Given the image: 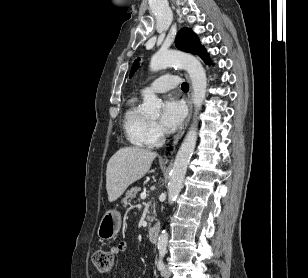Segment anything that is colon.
<instances>
[{
	"mask_svg": "<svg viewBox=\"0 0 308 278\" xmlns=\"http://www.w3.org/2000/svg\"><path fill=\"white\" fill-rule=\"evenodd\" d=\"M93 264L98 272L108 274L115 264V255L111 250H97L93 254Z\"/></svg>",
	"mask_w": 308,
	"mask_h": 278,
	"instance_id": "obj_1",
	"label": "colon"
}]
</instances>
